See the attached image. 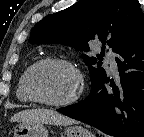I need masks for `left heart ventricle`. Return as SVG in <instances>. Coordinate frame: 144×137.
I'll return each instance as SVG.
<instances>
[{
	"label": "left heart ventricle",
	"mask_w": 144,
	"mask_h": 137,
	"mask_svg": "<svg viewBox=\"0 0 144 137\" xmlns=\"http://www.w3.org/2000/svg\"><path fill=\"white\" fill-rule=\"evenodd\" d=\"M32 86L43 99L63 101L76 92L78 80L75 73L64 66L45 65L34 73Z\"/></svg>",
	"instance_id": "1"
}]
</instances>
